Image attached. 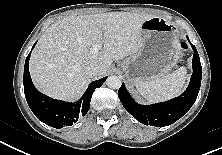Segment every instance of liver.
<instances>
[{"instance_id": "liver-1", "label": "liver", "mask_w": 222, "mask_h": 155, "mask_svg": "<svg viewBox=\"0 0 222 155\" xmlns=\"http://www.w3.org/2000/svg\"><path fill=\"white\" fill-rule=\"evenodd\" d=\"M152 15L108 12L69 16L52 24L39 39L29 63L36 87L57 99L78 96L90 77L86 68L96 64L104 75L114 60L142 48L141 25ZM95 44L103 46L93 53Z\"/></svg>"}]
</instances>
